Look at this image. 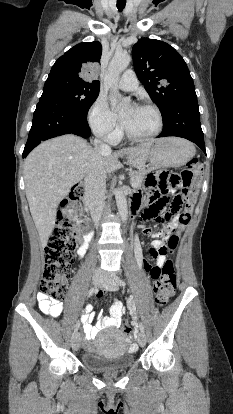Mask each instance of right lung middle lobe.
Segmentation results:
<instances>
[{
    "label": "right lung middle lobe",
    "mask_w": 233,
    "mask_h": 414,
    "mask_svg": "<svg viewBox=\"0 0 233 414\" xmlns=\"http://www.w3.org/2000/svg\"><path fill=\"white\" fill-rule=\"evenodd\" d=\"M99 85H91L61 77H48L40 101H50L87 114L99 95Z\"/></svg>",
    "instance_id": "obj_1"
}]
</instances>
